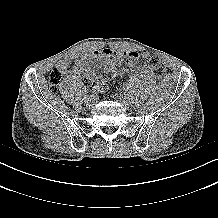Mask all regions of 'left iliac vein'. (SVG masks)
Here are the masks:
<instances>
[{
    "label": "left iliac vein",
    "mask_w": 218,
    "mask_h": 218,
    "mask_svg": "<svg viewBox=\"0 0 218 218\" xmlns=\"http://www.w3.org/2000/svg\"><path fill=\"white\" fill-rule=\"evenodd\" d=\"M120 102H121L124 106H126V107H128V106L131 104L130 98H128V97H126V96H121V97H120Z\"/></svg>",
    "instance_id": "left-iliac-vein-1"
}]
</instances>
